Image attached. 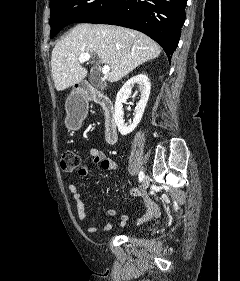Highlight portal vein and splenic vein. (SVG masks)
<instances>
[{"instance_id": "portal-vein-and-splenic-vein-1", "label": "portal vein and splenic vein", "mask_w": 240, "mask_h": 281, "mask_svg": "<svg viewBox=\"0 0 240 281\" xmlns=\"http://www.w3.org/2000/svg\"><path fill=\"white\" fill-rule=\"evenodd\" d=\"M91 59V55L89 53H83L79 56V63H85ZM102 74L106 75L110 72V67L105 65L102 68H99Z\"/></svg>"}]
</instances>
